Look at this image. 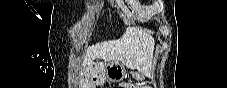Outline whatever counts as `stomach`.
Returning <instances> with one entry per match:
<instances>
[{
    "instance_id": "obj_1",
    "label": "stomach",
    "mask_w": 227,
    "mask_h": 88,
    "mask_svg": "<svg viewBox=\"0 0 227 88\" xmlns=\"http://www.w3.org/2000/svg\"><path fill=\"white\" fill-rule=\"evenodd\" d=\"M106 74L112 82L122 81L127 75L124 67L118 61H112L106 65ZM132 75L138 81L143 79V75L139 71L133 72Z\"/></svg>"
}]
</instances>
